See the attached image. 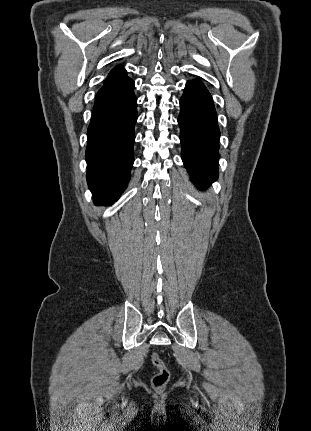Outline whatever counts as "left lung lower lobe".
Returning <instances> with one entry per match:
<instances>
[{
	"label": "left lung lower lobe",
	"instance_id": "1",
	"mask_svg": "<svg viewBox=\"0 0 311 431\" xmlns=\"http://www.w3.org/2000/svg\"><path fill=\"white\" fill-rule=\"evenodd\" d=\"M180 107L182 160L193 182L206 188L218 177L220 132L213 100L199 80H192L185 86Z\"/></svg>",
	"mask_w": 311,
	"mask_h": 431
}]
</instances>
